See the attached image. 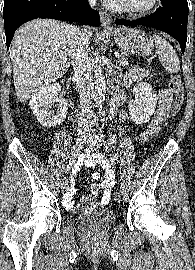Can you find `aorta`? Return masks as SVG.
<instances>
[{
	"label": "aorta",
	"instance_id": "aorta-1",
	"mask_svg": "<svg viewBox=\"0 0 195 270\" xmlns=\"http://www.w3.org/2000/svg\"><path fill=\"white\" fill-rule=\"evenodd\" d=\"M94 78H95V96H96L95 99L99 107V113H101L102 106L104 105L105 101L106 83L101 65L98 61H96L95 63Z\"/></svg>",
	"mask_w": 195,
	"mask_h": 270
}]
</instances>
